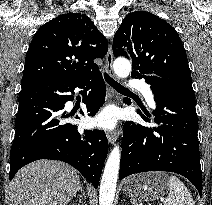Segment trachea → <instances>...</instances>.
Instances as JSON below:
<instances>
[{"instance_id": "trachea-1", "label": "trachea", "mask_w": 212, "mask_h": 205, "mask_svg": "<svg viewBox=\"0 0 212 205\" xmlns=\"http://www.w3.org/2000/svg\"><path fill=\"white\" fill-rule=\"evenodd\" d=\"M106 82L111 85L115 90L122 92V93H131V91L118 82H116L113 78H111L107 73L104 74Z\"/></svg>"}]
</instances>
